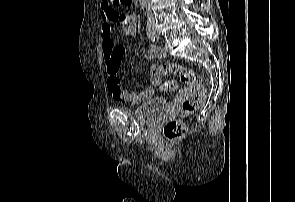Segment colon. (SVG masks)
<instances>
[{"label":"colon","mask_w":295,"mask_h":202,"mask_svg":"<svg viewBox=\"0 0 295 202\" xmlns=\"http://www.w3.org/2000/svg\"><path fill=\"white\" fill-rule=\"evenodd\" d=\"M110 3H115L123 6H131L133 0H109ZM122 22H126V18H122ZM149 71H153V75L162 74H178L181 81L185 85H189L192 89L190 98L185 100L182 107L183 116H187L201 107L206 98V88L203 78L200 74L192 69L180 66L174 62L163 61L157 65L149 66ZM178 88L175 81H165L161 86V91H174ZM187 132L186 125L183 119H174L168 121L163 128V135L169 141H175L185 136Z\"/></svg>","instance_id":"5ec220e1"}]
</instances>
